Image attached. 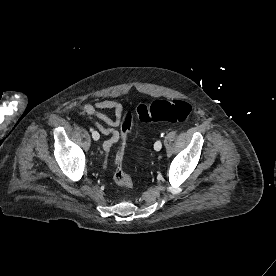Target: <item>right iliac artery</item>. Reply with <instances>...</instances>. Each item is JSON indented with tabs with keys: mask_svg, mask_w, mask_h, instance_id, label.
I'll return each instance as SVG.
<instances>
[{
	"mask_svg": "<svg viewBox=\"0 0 276 276\" xmlns=\"http://www.w3.org/2000/svg\"><path fill=\"white\" fill-rule=\"evenodd\" d=\"M90 131H91V132H93V128H90ZM99 137H100V135L98 136V138H97V139H99Z\"/></svg>",
	"mask_w": 276,
	"mask_h": 276,
	"instance_id": "82829eb1",
	"label": "right iliac artery"
}]
</instances>
